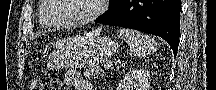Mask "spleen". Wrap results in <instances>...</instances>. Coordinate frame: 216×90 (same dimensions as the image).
I'll list each match as a JSON object with an SVG mask.
<instances>
[{
  "label": "spleen",
  "mask_w": 216,
  "mask_h": 90,
  "mask_svg": "<svg viewBox=\"0 0 216 90\" xmlns=\"http://www.w3.org/2000/svg\"><path fill=\"white\" fill-rule=\"evenodd\" d=\"M118 36L128 44L131 54L136 56V58H146V56H150L152 52H156L157 50L155 40L151 36H147V34L137 32V30L120 28Z\"/></svg>",
  "instance_id": "3e777b00"
}]
</instances>
